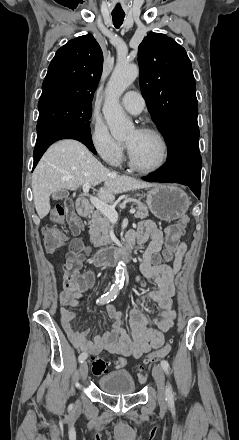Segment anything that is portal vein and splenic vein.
Instances as JSON below:
<instances>
[{"label":"portal vein and splenic vein","instance_id":"18ae733b","mask_svg":"<svg viewBox=\"0 0 239 440\" xmlns=\"http://www.w3.org/2000/svg\"><path fill=\"white\" fill-rule=\"evenodd\" d=\"M84 194H88L89 188H91L90 184H83L82 186ZM91 204L95 206L96 210H100L102 214H105L111 222H117L118 220V214L115 210V206H109V204H105V202H101V200H98V198H94V196H91L90 198ZM131 215H135V209L129 210Z\"/></svg>","mask_w":239,"mask_h":440}]
</instances>
